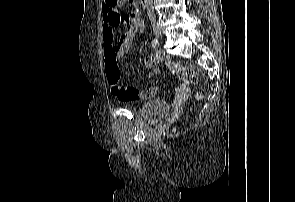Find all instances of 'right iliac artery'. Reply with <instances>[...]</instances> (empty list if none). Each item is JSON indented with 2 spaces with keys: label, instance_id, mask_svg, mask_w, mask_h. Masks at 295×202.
I'll return each instance as SVG.
<instances>
[{
  "label": "right iliac artery",
  "instance_id": "obj_1",
  "mask_svg": "<svg viewBox=\"0 0 295 202\" xmlns=\"http://www.w3.org/2000/svg\"><path fill=\"white\" fill-rule=\"evenodd\" d=\"M153 47H157L159 45L158 40L157 39H153L151 42Z\"/></svg>",
  "mask_w": 295,
  "mask_h": 202
}]
</instances>
